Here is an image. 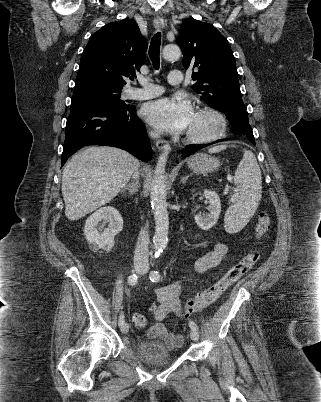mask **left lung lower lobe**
Listing matches in <instances>:
<instances>
[{
    "label": "left lung lower lobe",
    "mask_w": 321,
    "mask_h": 402,
    "mask_svg": "<svg viewBox=\"0 0 321 402\" xmlns=\"http://www.w3.org/2000/svg\"><path fill=\"white\" fill-rule=\"evenodd\" d=\"M229 122L232 125V130H233L234 134H238V133L246 134L248 136L249 140L253 144H255V139H254L253 132H252L248 119H246L240 115V116H236L232 119H229ZM220 141H226V139H220V140H217V141L209 143V144H201V145H198L197 147H185L183 157L190 156L194 152H196L204 147H207L211 144H214L216 142H220Z\"/></svg>",
    "instance_id": "0a47b994"
}]
</instances>
